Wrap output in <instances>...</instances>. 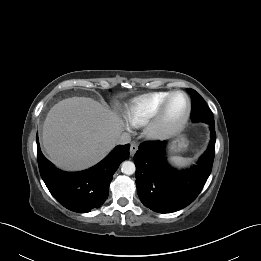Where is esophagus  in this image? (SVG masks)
<instances>
[{"instance_id":"1","label":"esophagus","mask_w":261,"mask_h":261,"mask_svg":"<svg viewBox=\"0 0 261 261\" xmlns=\"http://www.w3.org/2000/svg\"><path fill=\"white\" fill-rule=\"evenodd\" d=\"M138 149V144L136 142H132L130 146V155L133 156Z\"/></svg>"}]
</instances>
